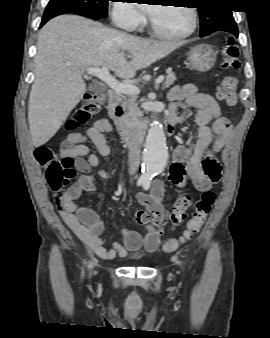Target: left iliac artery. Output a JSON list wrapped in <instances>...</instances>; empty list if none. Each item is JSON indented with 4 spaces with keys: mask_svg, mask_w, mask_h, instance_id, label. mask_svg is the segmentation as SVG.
<instances>
[{
    "mask_svg": "<svg viewBox=\"0 0 270 338\" xmlns=\"http://www.w3.org/2000/svg\"><path fill=\"white\" fill-rule=\"evenodd\" d=\"M149 187H150V184H149V183H147V184L144 185V189H145V190H148Z\"/></svg>",
    "mask_w": 270,
    "mask_h": 338,
    "instance_id": "44dca946",
    "label": "left iliac artery"
}]
</instances>
